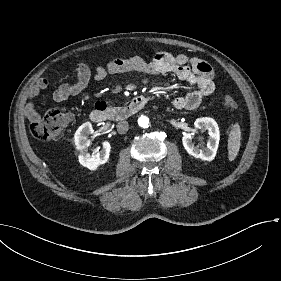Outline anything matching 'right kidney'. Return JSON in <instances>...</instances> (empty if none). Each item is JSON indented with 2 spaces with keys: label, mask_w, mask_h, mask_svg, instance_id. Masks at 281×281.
I'll use <instances>...</instances> for the list:
<instances>
[{
  "label": "right kidney",
  "mask_w": 281,
  "mask_h": 281,
  "mask_svg": "<svg viewBox=\"0 0 281 281\" xmlns=\"http://www.w3.org/2000/svg\"><path fill=\"white\" fill-rule=\"evenodd\" d=\"M94 130L90 122L83 123L75 132L74 143L79 151L78 159L82 166L90 170H96L101 164H104L109 159L111 150L110 143L103 142V149L100 152L90 154L88 147L90 145L89 135L93 134Z\"/></svg>",
  "instance_id": "obj_1"
}]
</instances>
